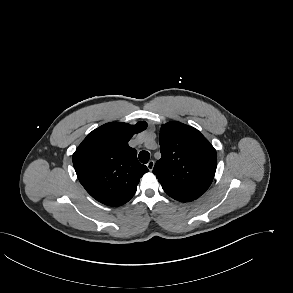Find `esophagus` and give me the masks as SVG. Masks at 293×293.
I'll return each mask as SVG.
<instances>
[{
	"instance_id": "obj_1",
	"label": "esophagus",
	"mask_w": 293,
	"mask_h": 293,
	"mask_svg": "<svg viewBox=\"0 0 293 293\" xmlns=\"http://www.w3.org/2000/svg\"><path fill=\"white\" fill-rule=\"evenodd\" d=\"M154 161L153 160H150L148 163H147V168L149 169V171H152L153 168H154Z\"/></svg>"
}]
</instances>
